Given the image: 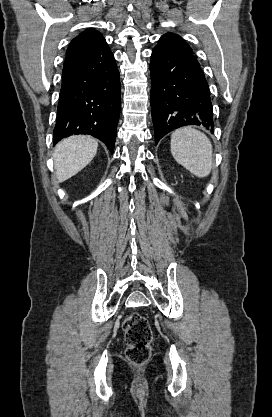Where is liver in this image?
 I'll return each mask as SVG.
<instances>
[{
    "instance_id": "obj_1",
    "label": "liver",
    "mask_w": 272,
    "mask_h": 417,
    "mask_svg": "<svg viewBox=\"0 0 272 417\" xmlns=\"http://www.w3.org/2000/svg\"><path fill=\"white\" fill-rule=\"evenodd\" d=\"M98 142L89 136H71L56 145L53 159L58 182H64L86 167L97 153Z\"/></svg>"
}]
</instances>
